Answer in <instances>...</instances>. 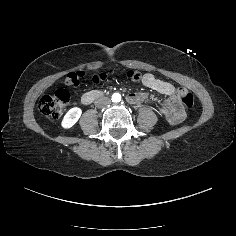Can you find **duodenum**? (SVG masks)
Masks as SVG:
<instances>
[{
	"label": "duodenum",
	"mask_w": 236,
	"mask_h": 236,
	"mask_svg": "<svg viewBox=\"0 0 236 236\" xmlns=\"http://www.w3.org/2000/svg\"><path fill=\"white\" fill-rule=\"evenodd\" d=\"M102 93L100 91H90L82 96V103L89 104L94 100L100 98ZM128 100L132 103L146 102L148 99L143 94L132 93L128 96ZM159 111L168 120L173 123L180 122L184 117V111L181 106L179 98L174 95L170 100L159 107Z\"/></svg>",
	"instance_id": "obj_1"
}]
</instances>
